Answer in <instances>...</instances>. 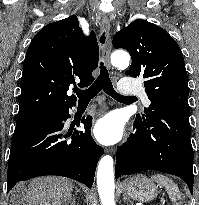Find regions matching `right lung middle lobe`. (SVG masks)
Masks as SVG:
<instances>
[{"label":"right lung middle lobe","instance_id":"dd1d6c3e","mask_svg":"<svg viewBox=\"0 0 199 205\" xmlns=\"http://www.w3.org/2000/svg\"><path fill=\"white\" fill-rule=\"evenodd\" d=\"M57 118L58 110L16 117V127L13 137L24 134L25 132L46 122L55 121Z\"/></svg>","mask_w":199,"mask_h":205}]
</instances>
